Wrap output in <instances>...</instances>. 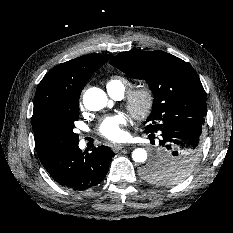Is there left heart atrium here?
Masks as SVG:
<instances>
[{"label":"left heart atrium","mask_w":233,"mask_h":233,"mask_svg":"<svg viewBox=\"0 0 233 233\" xmlns=\"http://www.w3.org/2000/svg\"><path fill=\"white\" fill-rule=\"evenodd\" d=\"M126 119L123 115L117 114L104 117L97 127V132L111 141L122 140L125 136L124 126Z\"/></svg>","instance_id":"obj_1"}]
</instances>
